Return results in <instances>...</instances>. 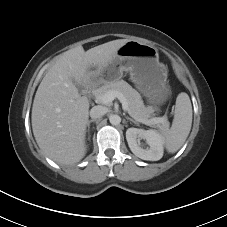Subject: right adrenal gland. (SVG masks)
Returning <instances> with one entry per match:
<instances>
[{
    "label": "right adrenal gland",
    "mask_w": 227,
    "mask_h": 227,
    "mask_svg": "<svg viewBox=\"0 0 227 227\" xmlns=\"http://www.w3.org/2000/svg\"><path fill=\"white\" fill-rule=\"evenodd\" d=\"M97 120L96 119H92V120H89L88 122H87V127H88V129H87V132L89 133V129H90V124L92 123V122H96Z\"/></svg>",
    "instance_id": "obj_1"
}]
</instances>
